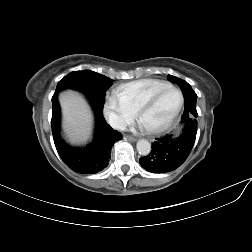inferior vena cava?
<instances>
[{
	"label": "inferior vena cava",
	"instance_id": "602c4592",
	"mask_svg": "<svg viewBox=\"0 0 252 252\" xmlns=\"http://www.w3.org/2000/svg\"><path fill=\"white\" fill-rule=\"evenodd\" d=\"M106 119L113 128H117L120 130H124L126 128L125 122L119 116L112 112H106Z\"/></svg>",
	"mask_w": 252,
	"mask_h": 252
}]
</instances>
